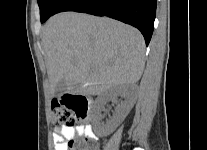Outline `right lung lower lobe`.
<instances>
[{"label": "right lung lower lobe", "mask_w": 207, "mask_h": 150, "mask_svg": "<svg viewBox=\"0 0 207 150\" xmlns=\"http://www.w3.org/2000/svg\"><path fill=\"white\" fill-rule=\"evenodd\" d=\"M157 0H63L55 13L76 11L107 16L138 28L149 44L156 14Z\"/></svg>", "instance_id": "98d812e1"}]
</instances>
